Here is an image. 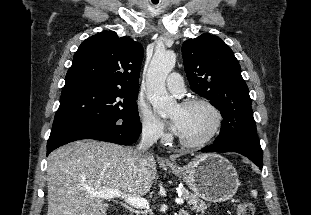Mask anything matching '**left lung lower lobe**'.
<instances>
[{"label":"left lung lower lobe","mask_w":311,"mask_h":215,"mask_svg":"<svg viewBox=\"0 0 311 215\" xmlns=\"http://www.w3.org/2000/svg\"><path fill=\"white\" fill-rule=\"evenodd\" d=\"M202 152H237L248 157L260 169L263 167V151L259 139L253 136H237L214 142L201 149Z\"/></svg>","instance_id":"1"}]
</instances>
